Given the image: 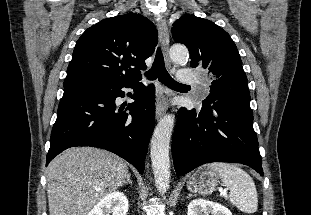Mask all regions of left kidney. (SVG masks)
<instances>
[{
	"instance_id": "obj_1",
	"label": "left kidney",
	"mask_w": 311,
	"mask_h": 215,
	"mask_svg": "<svg viewBox=\"0 0 311 215\" xmlns=\"http://www.w3.org/2000/svg\"><path fill=\"white\" fill-rule=\"evenodd\" d=\"M232 215L228 208L221 204L204 199L192 200L188 205L187 215Z\"/></svg>"
}]
</instances>
